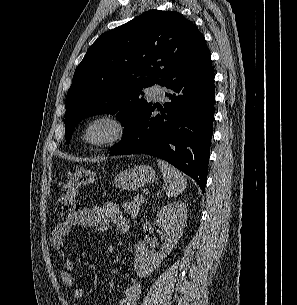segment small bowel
<instances>
[{
	"label": "small bowel",
	"mask_w": 297,
	"mask_h": 305,
	"mask_svg": "<svg viewBox=\"0 0 297 305\" xmlns=\"http://www.w3.org/2000/svg\"><path fill=\"white\" fill-rule=\"evenodd\" d=\"M111 225H115L119 230L128 227L127 222L122 217L120 208L114 203H105L102 206H91L71 213L65 220L59 222L51 235V243L64 263V268L60 277L64 285L69 287L75 298H82L85 290L82 286L75 284L73 278L74 264L65 249V239L75 226H90L98 231H106ZM108 254L115 252V246L108 244L105 247ZM141 294V285L136 278H131L121 296L118 305H136Z\"/></svg>",
	"instance_id": "1"
}]
</instances>
